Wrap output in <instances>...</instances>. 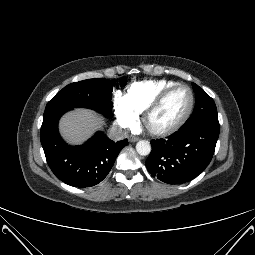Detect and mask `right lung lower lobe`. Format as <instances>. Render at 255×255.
I'll use <instances>...</instances> for the list:
<instances>
[{
  "instance_id": "right-lung-lower-lobe-1",
  "label": "right lung lower lobe",
  "mask_w": 255,
  "mask_h": 255,
  "mask_svg": "<svg viewBox=\"0 0 255 255\" xmlns=\"http://www.w3.org/2000/svg\"><path fill=\"white\" fill-rule=\"evenodd\" d=\"M69 110L44 112L41 144L48 165L58 179L75 187H91L107 176L119 152L127 145V139L114 142L103 132H97L82 146L68 145L59 135L58 121Z\"/></svg>"
}]
</instances>
